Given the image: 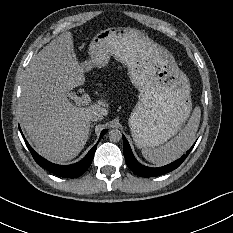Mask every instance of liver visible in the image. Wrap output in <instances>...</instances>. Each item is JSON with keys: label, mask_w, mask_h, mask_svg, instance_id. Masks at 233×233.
Returning a JSON list of instances; mask_svg holds the SVG:
<instances>
[{"label": "liver", "mask_w": 233, "mask_h": 233, "mask_svg": "<svg viewBox=\"0 0 233 233\" xmlns=\"http://www.w3.org/2000/svg\"><path fill=\"white\" fill-rule=\"evenodd\" d=\"M85 82L71 32L60 34L31 58L23 75L18 116L41 156L59 162L72 160L89 138V114L100 110L108 115L104 99L86 107L69 101L68 91Z\"/></svg>", "instance_id": "liver-1"}]
</instances>
